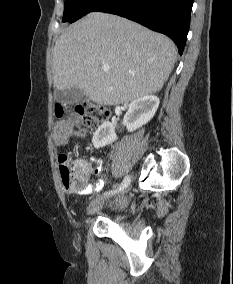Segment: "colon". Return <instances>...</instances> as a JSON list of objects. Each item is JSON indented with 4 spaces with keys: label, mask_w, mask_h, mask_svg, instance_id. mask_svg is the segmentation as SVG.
I'll list each match as a JSON object with an SVG mask.
<instances>
[{
    "label": "colon",
    "mask_w": 233,
    "mask_h": 284,
    "mask_svg": "<svg viewBox=\"0 0 233 284\" xmlns=\"http://www.w3.org/2000/svg\"><path fill=\"white\" fill-rule=\"evenodd\" d=\"M56 115L61 116L63 109L56 107ZM76 112L80 116L84 126L88 128L98 127L109 117V110L102 105L93 103H81L76 106ZM59 171L66 189L79 191L86 186L87 176L82 172L76 161L67 154H61L58 159Z\"/></svg>",
    "instance_id": "1"
}]
</instances>
